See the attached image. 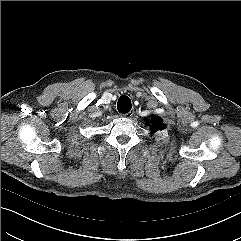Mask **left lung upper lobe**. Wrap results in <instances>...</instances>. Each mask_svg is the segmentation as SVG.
Segmentation results:
<instances>
[{
  "instance_id": "obj_1",
  "label": "left lung upper lobe",
  "mask_w": 241,
  "mask_h": 241,
  "mask_svg": "<svg viewBox=\"0 0 241 241\" xmlns=\"http://www.w3.org/2000/svg\"><path fill=\"white\" fill-rule=\"evenodd\" d=\"M147 125H150L151 131L153 133L156 132L157 130L164 129V127H165V124L163 123L162 119L155 115H152L151 120H150V122L147 123Z\"/></svg>"
}]
</instances>
